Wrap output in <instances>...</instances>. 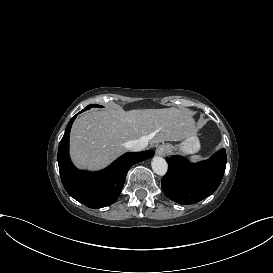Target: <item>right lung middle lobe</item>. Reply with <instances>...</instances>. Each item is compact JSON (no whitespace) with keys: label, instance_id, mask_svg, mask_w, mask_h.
<instances>
[{"label":"right lung middle lobe","instance_id":"1","mask_svg":"<svg viewBox=\"0 0 273 273\" xmlns=\"http://www.w3.org/2000/svg\"><path fill=\"white\" fill-rule=\"evenodd\" d=\"M91 107H102V106L97 105V104L89 105V106H87L84 110H88V109H90Z\"/></svg>","mask_w":273,"mask_h":273}]
</instances>
